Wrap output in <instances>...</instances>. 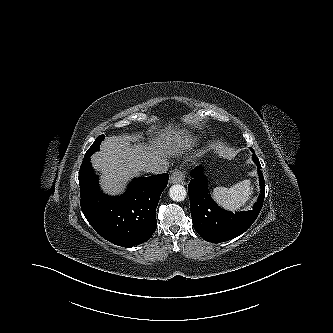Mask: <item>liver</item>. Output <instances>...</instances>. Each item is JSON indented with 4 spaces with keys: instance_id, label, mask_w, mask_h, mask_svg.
<instances>
[{
    "instance_id": "liver-1",
    "label": "liver",
    "mask_w": 333,
    "mask_h": 333,
    "mask_svg": "<svg viewBox=\"0 0 333 333\" xmlns=\"http://www.w3.org/2000/svg\"><path fill=\"white\" fill-rule=\"evenodd\" d=\"M191 135L183 130L168 127L159 138L149 146L131 145L125 136L107 137L101 144L100 151L91 157L97 171L102 173L100 184L104 192L110 195L121 194L125 183L145 170V165L153 161L167 162L173 151L179 153L180 148H190Z\"/></svg>"
}]
</instances>
